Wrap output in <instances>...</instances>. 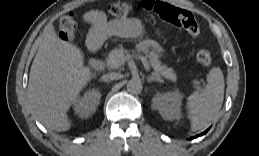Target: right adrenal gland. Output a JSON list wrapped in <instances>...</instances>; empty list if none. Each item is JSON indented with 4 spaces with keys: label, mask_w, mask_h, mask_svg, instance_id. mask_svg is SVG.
<instances>
[{
    "label": "right adrenal gland",
    "mask_w": 259,
    "mask_h": 156,
    "mask_svg": "<svg viewBox=\"0 0 259 156\" xmlns=\"http://www.w3.org/2000/svg\"><path fill=\"white\" fill-rule=\"evenodd\" d=\"M100 82H108L107 80L104 79H100Z\"/></svg>",
    "instance_id": "right-adrenal-gland-1"
}]
</instances>
